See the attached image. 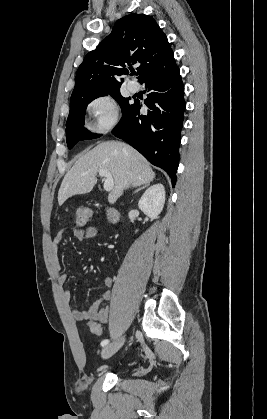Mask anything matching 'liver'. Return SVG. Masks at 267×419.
<instances>
[{
    "label": "liver",
    "mask_w": 267,
    "mask_h": 419,
    "mask_svg": "<svg viewBox=\"0 0 267 419\" xmlns=\"http://www.w3.org/2000/svg\"><path fill=\"white\" fill-rule=\"evenodd\" d=\"M101 169L109 170L114 179V187L108 196L110 203H114L130 185L149 184L155 178V172L137 150L122 142H103L80 157L66 173L58 192V204L62 205L74 195L89 193L97 183L96 175Z\"/></svg>",
    "instance_id": "liver-1"
}]
</instances>
